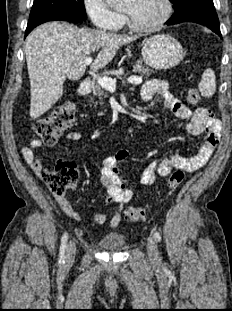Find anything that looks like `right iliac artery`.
<instances>
[{
    "label": "right iliac artery",
    "mask_w": 232,
    "mask_h": 311,
    "mask_svg": "<svg viewBox=\"0 0 232 311\" xmlns=\"http://www.w3.org/2000/svg\"><path fill=\"white\" fill-rule=\"evenodd\" d=\"M68 241V235L65 233L61 238V246H60V253H59V264H64L65 262V252L66 246Z\"/></svg>",
    "instance_id": "right-iliac-artery-1"
}]
</instances>
